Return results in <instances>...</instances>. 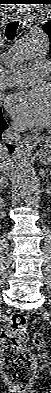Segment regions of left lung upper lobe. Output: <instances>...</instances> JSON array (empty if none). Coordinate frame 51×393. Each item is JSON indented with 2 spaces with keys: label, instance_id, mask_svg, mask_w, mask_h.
Here are the masks:
<instances>
[{
  "label": "left lung upper lobe",
  "instance_id": "5c2ea615",
  "mask_svg": "<svg viewBox=\"0 0 51 393\" xmlns=\"http://www.w3.org/2000/svg\"><path fill=\"white\" fill-rule=\"evenodd\" d=\"M42 28L48 34L50 41H51V22L45 23L42 26ZM50 51H51V49H50Z\"/></svg>",
  "mask_w": 51,
  "mask_h": 393
}]
</instances>
